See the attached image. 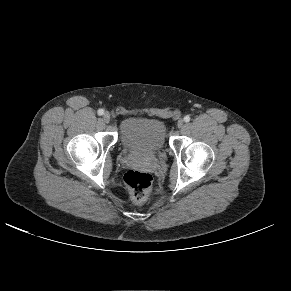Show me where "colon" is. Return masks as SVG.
Masks as SVG:
<instances>
[{
    "instance_id": "5ec220e1",
    "label": "colon",
    "mask_w": 291,
    "mask_h": 291,
    "mask_svg": "<svg viewBox=\"0 0 291 291\" xmlns=\"http://www.w3.org/2000/svg\"><path fill=\"white\" fill-rule=\"evenodd\" d=\"M124 181L133 201L142 203L146 200L152 185L150 174L143 171L129 170L124 176Z\"/></svg>"
}]
</instances>
